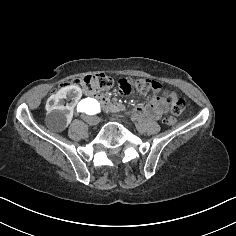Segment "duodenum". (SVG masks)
<instances>
[{"label":"duodenum","instance_id":"410a0bca","mask_svg":"<svg viewBox=\"0 0 236 236\" xmlns=\"http://www.w3.org/2000/svg\"><path fill=\"white\" fill-rule=\"evenodd\" d=\"M87 96L97 101L101 109L111 114H121L126 108L123 104L112 101L105 93L100 91H88Z\"/></svg>","mask_w":236,"mask_h":236}]
</instances>
